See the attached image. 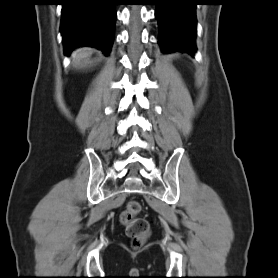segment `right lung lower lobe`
Segmentation results:
<instances>
[{"label":"right lung lower lobe","instance_id":"obj_1","mask_svg":"<svg viewBox=\"0 0 278 278\" xmlns=\"http://www.w3.org/2000/svg\"><path fill=\"white\" fill-rule=\"evenodd\" d=\"M115 0H62L61 34L65 54L79 46L111 50L115 28Z\"/></svg>","mask_w":278,"mask_h":278}]
</instances>
